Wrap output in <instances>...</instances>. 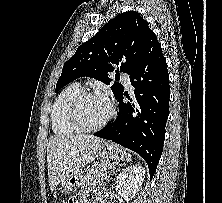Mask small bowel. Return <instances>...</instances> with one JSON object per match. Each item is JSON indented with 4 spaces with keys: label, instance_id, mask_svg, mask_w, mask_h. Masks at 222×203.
Instances as JSON below:
<instances>
[{
    "label": "small bowel",
    "instance_id": "obj_1",
    "mask_svg": "<svg viewBox=\"0 0 222 203\" xmlns=\"http://www.w3.org/2000/svg\"><path fill=\"white\" fill-rule=\"evenodd\" d=\"M70 202H72V201H70ZM72 203H75V202H72ZM76 203H78V202H76ZM81 203H89V202H87V201H84V202H81Z\"/></svg>",
    "mask_w": 222,
    "mask_h": 203
}]
</instances>
